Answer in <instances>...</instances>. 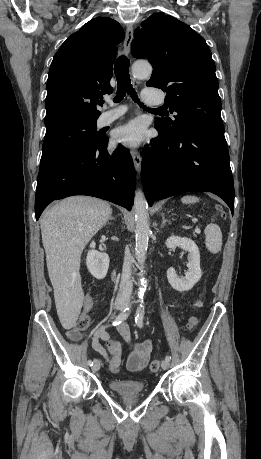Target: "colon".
<instances>
[{
  "label": "colon",
  "mask_w": 261,
  "mask_h": 459,
  "mask_svg": "<svg viewBox=\"0 0 261 459\" xmlns=\"http://www.w3.org/2000/svg\"><path fill=\"white\" fill-rule=\"evenodd\" d=\"M193 306L195 308H201L203 306V300L197 299L194 302ZM89 322H90L89 317L86 314H82L76 322L75 329L77 331L85 330L89 326ZM197 324H198V319L196 316L192 315L187 318V322H186L187 329L191 330ZM107 348L113 357L112 361L109 363V367L113 372H117L119 370L120 363H121V354H122L121 344L120 342L116 340H109L107 343ZM159 369H160V361L153 360L150 363V370L152 372H157Z\"/></svg>",
  "instance_id": "5ec220e1"
}]
</instances>
